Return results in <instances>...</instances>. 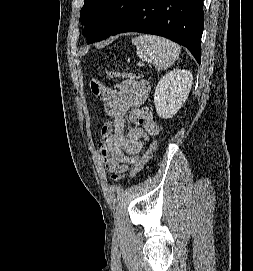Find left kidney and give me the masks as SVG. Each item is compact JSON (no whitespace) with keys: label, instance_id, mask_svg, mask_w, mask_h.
I'll return each mask as SVG.
<instances>
[{"label":"left kidney","instance_id":"obj_1","mask_svg":"<svg viewBox=\"0 0 253 271\" xmlns=\"http://www.w3.org/2000/svg\"><path fill=\"white\" fill-rule=\"evenodd\" d=\"M193 83L190 71H170L158 82L154 93V104L160 118L170 119L183 106Z\"/></svg>","mask_w":253,"mask_h":271}]
</instances>
